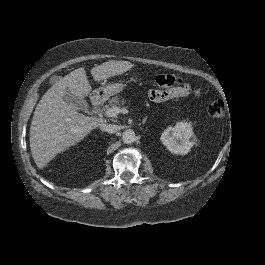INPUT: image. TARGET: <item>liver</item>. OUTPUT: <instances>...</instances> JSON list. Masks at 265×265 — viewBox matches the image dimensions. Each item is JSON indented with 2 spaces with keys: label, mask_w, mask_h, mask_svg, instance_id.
Returning a JSON list of instances; mask_svg holds the SVG:
<instances>
[{
  "label": "liver",
  "mask_w": 265,
  "mask_h": 265,
  "mask_svg": "<svg viewBox=\"0 0 265 265\" xmlns=\"http://www.w3.org/2000/svg\"><path fill=\"white\" fill-rule=\"evenodd\" d=\"M132 67L126 61H108L92 68L95 80L121 74ZM82 96L90 90L83 68H78L53 84L37 103L30 127V148L38 168L63 149L82 140L93 128L105 123V119L85 116L65 102V88Z\"/></svg>",
  "instance_id": "liver-1"
}]
</instances>
